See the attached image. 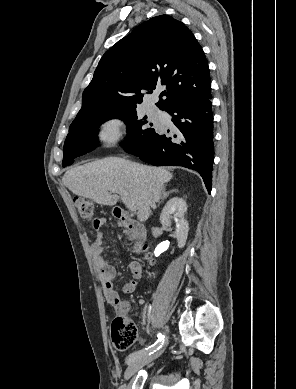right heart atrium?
<instances>
[{
    "label": "right heart atrium",
    "mask_w": 296,
    "mask_h": 389,
    "mask_svg": "<svg viewBox=\"0 0 296 389\" xmlns=\"http://www.w3.org/2000/svg\"><path fill=\"white\" fill-rule=\"evenodd\" d=\"M122 137V123L112 117L103 121L97 129V139L101 143H115Z\"/></svg>",
    "instance_id": "obj_1"
}]
</instances>
